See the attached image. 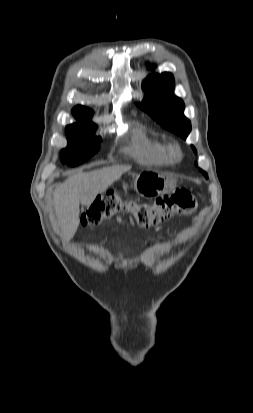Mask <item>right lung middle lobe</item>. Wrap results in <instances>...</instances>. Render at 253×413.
Wrapping results in <instances>:
<instances>
[{
	"label": "right lung middle lobe",
	"instance_id": "1",
	"mask_svg": "<svg viewBox=\"0 0 253 413\" xmlns=\"http://www.w3.org/2000/svg\"><path fill=\"white\" fill-rule=\"evenodd\" d=\"M96 125L90 121H78L66 127L68 147L61 151L62 162L69 166H77L100 148V137H95Z\"/></svg>",
	"mask_w": 253,
	"mask_h": 413
}]
</instances>
